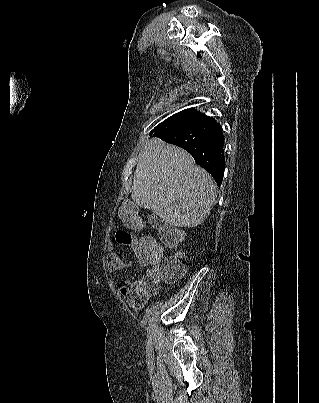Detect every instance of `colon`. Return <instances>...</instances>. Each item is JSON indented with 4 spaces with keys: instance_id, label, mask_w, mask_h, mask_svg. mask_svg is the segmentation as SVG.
Masks as SVG:
<instances>
[{
    "instance_id": "colon-1",
    "label": "colon",
    "mask_w": 319,
    "mask_h": 403,
    "mask_svg": "<svg viewBox=\"0 0 319 403\" xmlns=\"http://www.w3.org/2000/svg\"><path fill=\"white\" fill-rule=\"evenodd\" d=\"M124 202L125 206L121 211L122 222L131 228H139L141 216L135 202L128 198ZM151 223L160 234L137 236L138 249H133L134 252H142L147 259L155 263V267L147 271L142 278L149 296L157 292L161 282H173L182 277L186 271L185 265L179 257L163 258L164 246L178 245L183 237L182 232L164 224L157 217H152Z\"/></svg>"
}]
</instances>
